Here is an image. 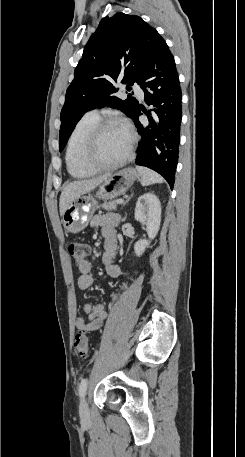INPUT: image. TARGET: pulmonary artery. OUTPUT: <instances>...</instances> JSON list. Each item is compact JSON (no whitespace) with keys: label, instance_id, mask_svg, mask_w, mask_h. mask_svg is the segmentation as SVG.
<instances>
[{"label":"pulmonary artery","instance_id":"pulmonary-artery-1","mask_svg":"<svg viewBox=\"0 0 245 457\" xmlns=\"http://www.w3.org/2000/svg\"><path fill=\"white\" fill-rule=\"evenodd\" d=\"M131 88L134 90L133 91V96H134L136 102H145L146 95H145L143 89H139L140 88V83L138 81H133L131 83ZM87 114L97 116L98 115V111L97 110H91Z\"/></svg>","mask_w":245,"mask_h":457}]
</instances>
